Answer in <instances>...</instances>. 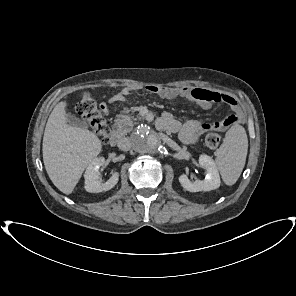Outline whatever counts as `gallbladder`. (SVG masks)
<instances>
[{
	"instance_id": "obj_1",
	"label": "gallbladder",
	"mask_w": 296,
	"mask_h": 296,
	"mask_svg": "<svg viewBox=\"0 0 296 296\" xmlns=\"http://www.w3.org/2000/svg\"><path fill=\"white\" fill-rule=\"evenodd\" d=\"M67 123L74 127L85 128L87 127V123L83 120H80L75 115L68 114L67 115Z\"/></svg>"
}]
</instances>
